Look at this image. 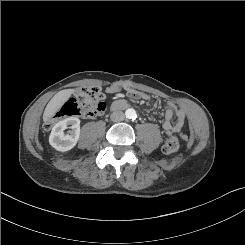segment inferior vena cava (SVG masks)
Wrapping results in <instances>:
<instances>
[{
	"label": "inferior vena cava",
	"mask_w": 245,
	"mask_h": 245,
	"mask_svg": "<svg viewBox=\"0 0 245 245\" xmlns=\"http://www.w3.org/2000/svg\"><path fill=\"white\" fill-rule=\"evenodd\" d=\"M124 118H125V115L122 111H114L110 116V119L113 122H120L124 120Z\"/></svg>",
	"instance_id": "obj_1"
}]
</instances>
